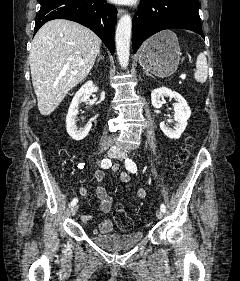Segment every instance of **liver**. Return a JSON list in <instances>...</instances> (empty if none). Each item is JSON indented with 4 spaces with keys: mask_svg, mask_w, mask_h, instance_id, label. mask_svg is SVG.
Returning a JSON list of instances; mask_svg holds the SVG:
<instances>
[{
    "mask_svg": "<svg viewBox=\"0 0 240 281\" xmlns=\"http://www.w3.org/2000/svg\"><path fill=\"white\" fill-rule=\"evenodd\" d=\"M101 40L87 27L65 19L45 23L29 54L38 109L50 115L67 93L85 79L100 52Z\"/></svg>",
    "mask_w": 240,
    "mask_h": 281,
    "instance_id": "6515ba94",
    "label": "liver"
}]
</instances>
